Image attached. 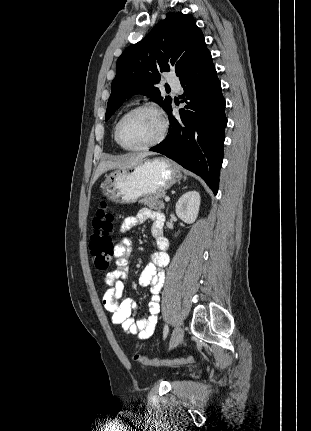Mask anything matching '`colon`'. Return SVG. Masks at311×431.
<instances>
[{
	"mask_svg": "<svg viewBox=\"0 0 311 431\" xmlns=\"http://www.w3.org/2000/svg\"><path fill=\"white\" fill-rule=\"evenodd\" d=\"M113 224L114 214L108 210L107 202L102 200L92 222L93 233L89 241V249L94 265L101 272L110 267L114 256V244L111 237ZM135 360L146 366H181L195 362L193 357L156 359L139 354L135 355Z\"/></svg>",
	"mask_w": 311,
	"mask_h": 431,
	"instance_id": "1",
	"label": "colon"
}]
</instances>
